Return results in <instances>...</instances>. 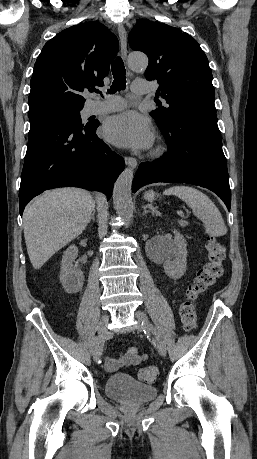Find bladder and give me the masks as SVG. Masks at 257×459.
Masks as SVG:
<instances>
[{"label": "bladder", "instance_id": "31cf9c89", "mask_svg": "<svg viewBox=\"0 0 257 459\" xmlns=\"http://www.w3.org/2000/svg\"><path fill=\"white\" fill-rule=\"evenodd\" d=\"M105 390L108 397L131 404L148 402L157 395L155 386L139 382L125 373L111 375L105 382Z\"/></svg>", "mask_w": 257, "mask_h": 459}]
</instances>
